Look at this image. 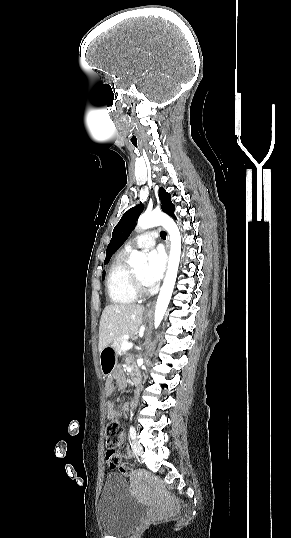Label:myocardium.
Wrapping results in <instances>:
<instances>
[{"label":"myocardium","instance_id":"1","mask_svg":"<svg viewBox=\"0 0 291 538\" xmlns=\"http://www.w3.org/2000/svg\"><path fill=\"white\" fill-rule=\"evenodd\" d=\"M130 283L134 294L137 297H142L148 294L147 287L140 281L133 270L130 273Z\"/></svg>","mask_w":291,"mask_h":538}]
</instances>
